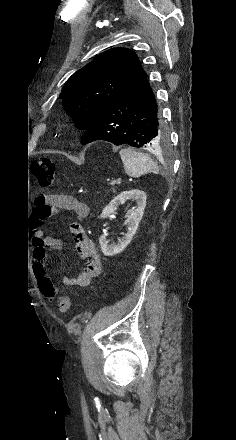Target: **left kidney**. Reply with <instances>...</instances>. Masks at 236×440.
I'll list each match as a JSON object with an SVG mask.
<instances>
[{"instance_id":"left-kidney-1","label":"left kidney","mask_w":236,"mask_h":440,"mask_svg":"<svg viewBox=\"0 0 236 440\" xmlns=\"http://www.w3.org/2000/svg\"><path fill=\"white\" fill-rule=\"evenodd\" d=\"M146 193L144 191L133 189L130 191H124L117 195L102 211L101 219L107 218L110 214L114 213L119 205L123 204L127 200L136 202L135 209L128 214L124 224L126 225V234L118 240L117 243L109 244L107 237L102 235L99 239L100 247L105 256H113L123 251L126 246L131 242L135 235L139 223L142 219L144 209L146 206Z\"/></svg>"}]
</instances>
